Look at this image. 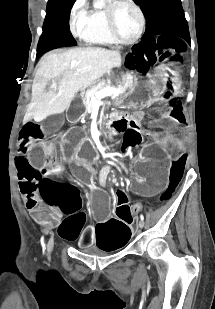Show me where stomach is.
Segmentation results:
<instances>
[{
	"mask_svg": "<svg viewBox=\"0 0 215 309\" xmlns=\"http://www.w3.org/2000/svg\"><path fill=\"white\" fill-rule=\"evenodd\" d=\"M169 86H171V92L176 94L181 86L180 74L170 65L161 64L152 74L147 75L146 79L136 77L123 96L129 102H143L151 97L164 96Z\"/></svg>",
	"mask_w": 215,
	"mask_h": 309,
	"instance_id": "obj_1",
	"label": "stomach"
}]
</instances>
